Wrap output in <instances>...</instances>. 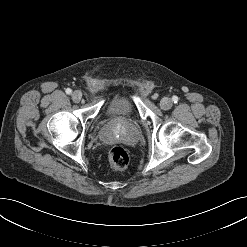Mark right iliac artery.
Returning a JSON list of instances; mask_svg holds the SVG:
<instances>
[{
  "label": "right iliac artery",
  "mask_w": 247,
  "mask_h": 247,
  "mask_svg": "<svg viewBox=\"0 0 247 247\" xmlns=\"http://www.w3.org/2000/svg\"><path fill=\"white\" fill-rule=\"evenodd\" d=\"M66 93L70 95L72 93V90L70 88H67Z\"/></svg>",
  "instance_id": "82829eb1"
}]
</instances>
